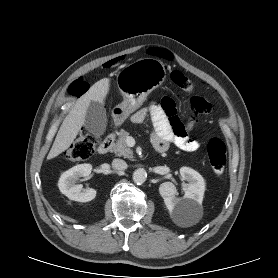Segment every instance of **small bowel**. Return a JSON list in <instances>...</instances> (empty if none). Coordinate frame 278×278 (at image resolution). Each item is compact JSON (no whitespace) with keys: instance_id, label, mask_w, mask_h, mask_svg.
I'll use <instances>...</instances> for the list:
<instances>
[{"instance_id":"1","label":"small bowel","mask_w":278,"mask_h":278,"mask_svg":"<svg viewBox=\"0 0 278 278\" xmlns=\"http://www.w3.org/2000/svg\"><path fill=\"white\" fill-rule=\"evenodd\" d=\"M146 119L152 123V143L158 152L166 151L170 142L188 152L199 148V142L188 134L195 125L194 119L184 125L177 117L175 104L170 98L164 97L161 104L153 102L131 116V121L136 124Z\"/></svg>"}]
</instances>
